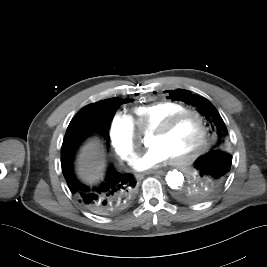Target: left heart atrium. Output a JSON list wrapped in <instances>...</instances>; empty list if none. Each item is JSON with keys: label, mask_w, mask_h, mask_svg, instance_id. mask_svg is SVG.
Masks as SVG:
<instances>
[{"label": "left heart atrium", "mask_w": 267, "mask_h": 267, "mask_svg": "<svg viewBox=\"0 0 267 267\" xmlns=\"http://www.w3.org/2000/svg\"><path fill=\"white\" fill-rule=\"evenodd\" d=\"M169 159V154L163 148L151 146L143 155L136 159L134 167L137 170H148Z\"/></svg>", "instance_id": "1"}]
</instances>
